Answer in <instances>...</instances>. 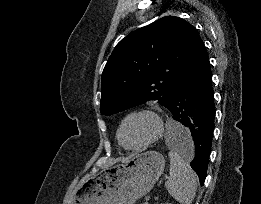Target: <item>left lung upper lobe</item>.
I'll return each mask as SVG.
<instances>
[{"label":"left lung upper lobe","instance_id":"5c2ea615","mask_svg":"<svg viewBox=\"0 0 261 204\" xmlns=\"http://www.w3.org/2000/svg\"><path fill=\"white\" fill-rule=\"evenodd\" d=\"M198 36L184 19L166 16L123 38L102 73L101 113L109 116L148 100L167 108Z\"/></svg>","mask_w":261,"mask_h":204}]
</instances>
